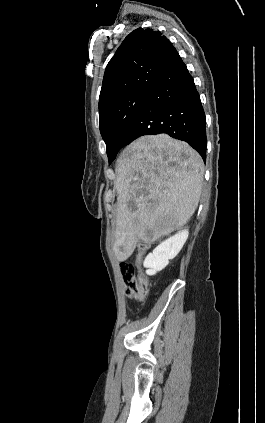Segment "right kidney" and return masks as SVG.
<instances>
[{"instance_id": "1", "label": "right kidney", "mask_w": 265, "mask_h": 423, "mask_svg": "<svg viewBox=\"0 0 265 423\" xmlns=\"http://www.w3.org/2000/svg\"><path fill=\"white\" fill-rule=\"evenodd\" d=\"M188 234V230H182L159 244L144 260L146 274L152 276L163 270L169 264V260L174 259L180 252Z\"/></svg>"}]
</instances>
